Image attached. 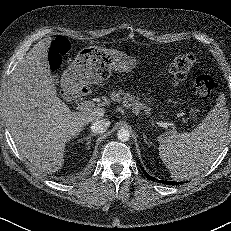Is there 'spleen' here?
Listing matches in <instances>:
<instances>
[{"label": "spleen", "instance_id": "1", "mask_svg": "<svg viewBox=\"0 0 231 231\" xmlns=\"http://www.w3.org/2000/svg\"><path fill=\"white\" fill-rule=\"evenodd\" d=\"M224 95L191 132L171 134L159 145V155L176 181L189 180L209 168L224 147L229 110Z\"/></svg>", "mask_w": 231, "mask_h": 231}]
</instances>
